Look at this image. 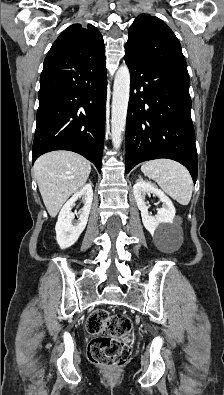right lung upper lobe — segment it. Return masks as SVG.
Wrapping results in <instances>:
<instances>
[{
	"instance_id": "cb5924a9",
	"label": "right lung upper lobe",
	"mask_w": 224,
	"mask_h": 395,
	"mask_svg": "<svg viewBox=\"0 0 224 395\" xmlns=\"http://www.w3.org/2000/svg\"><path fill=\"white\" fill-rule=\"evenodd\" d=\"M58 48H64L73 55L88 60L105 57L103 37L91 24L84 27L73 24L66 28L55 40L50 51Z\"/></svg>"
}]
</instances>
